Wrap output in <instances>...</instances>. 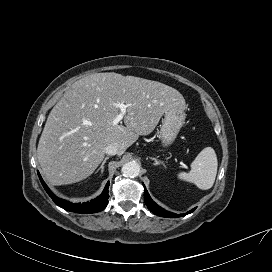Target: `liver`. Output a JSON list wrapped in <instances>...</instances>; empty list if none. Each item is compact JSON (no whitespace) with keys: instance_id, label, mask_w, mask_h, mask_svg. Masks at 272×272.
<instances>
[{"instance_id":"liver-1","label":"liver","mask_w":272,"mask_h":272,"mask_svg":"<svg viewBox=\"0 0 272 272\" xmlns=\"http://www.w3.org/2000/svg\"><path fill=\"white\" fill-rule=\"evenodd\" d=\"M130 105L123 125H113ZM183 96L163 83L114 72L94 73L75 83L51 110L37 155L45 179L67 185L90 176L114 144L122 155L140 135L150 134L165 111L185 109Z\"/></svg>"}]
</instances>
